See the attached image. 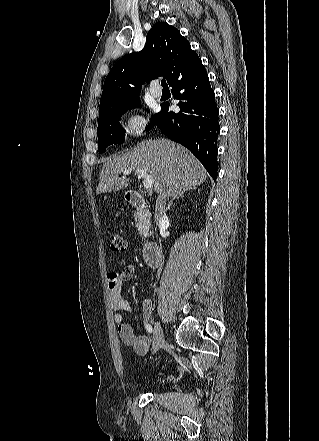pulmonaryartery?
<instances>
[{
	"label": "pulmonary artery",
	"mask_w": 319,
	"mask_h": 441,
	"mask_svg": "<svg viewBox=\"0 0 319 441\" xmlns=\"http://www.w3.org/2000/svg\"><path fill=\"white\" fill-rule=\"evenodd\" d=\"M150 92L152 94L153 97L159 98L162 95V91L156 87H152L150 89Z\"/></svg>",
	"instance_id": "obj_1"
}]
</instances>
